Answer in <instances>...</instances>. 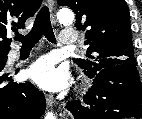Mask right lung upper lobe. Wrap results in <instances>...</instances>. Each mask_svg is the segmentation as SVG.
Returning a JSON list of instances; mask_svg holds the SVG:
<instances>
[{
	"mask_svg": "<svg viewBox=\"0 0 142 119\" xmlns=\"http://www.w3.org/2000/svg\"><path fill=\"white\" fill-rule=\"evenodd\" d=\"M42 0H0V55H7L11 39L7 32L24 28L25 21L34 16Z\"/></svg>",
	"mask_w": 142,
	"mask_h": 119,
	"instance_id": "obj_1",
	"label": "right lung upper lobe"
}]
</instances>
